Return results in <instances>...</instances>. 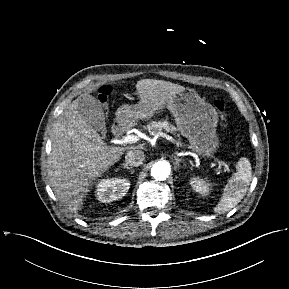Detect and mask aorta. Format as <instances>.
<instances>
[{"label": "aorta", "instance_id": "obj_1", "mask_svg": "<svg viewBox=\"0 0 289 289\" xmlns=\"http://www.w3.org/2000/svg\"><path fill=\"white\" fill-rule=\"evenodd\" d=\"M170 164L165 160L156 162L151 168V176L159 181L165 180L170 175Z\"/></svg>", "mask_w": 289, "mask_h": 289}]
</instances>
